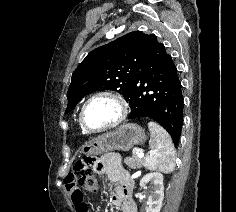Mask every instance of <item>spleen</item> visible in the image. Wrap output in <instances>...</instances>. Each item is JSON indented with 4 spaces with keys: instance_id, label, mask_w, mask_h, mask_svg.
I'll return each instance as SVG.
<instances>
[{
    "instance_id": "1",
    "label": "spleen",
    "mask_w": 236,
    "mask_h": 212,
    "mask_svg": "<svg viewBox=\"0 0 236 212\" xmlns=\"http://www.w3.org/2000/svg\"><path fill=\"white\" fill-rule=\"evenodd\" d=\"M148 128L151 151L144 159V166L151 171L171 173L175 168V148L170 135L154 121L148 123Z\"/></svg>"
}]
</instances>
